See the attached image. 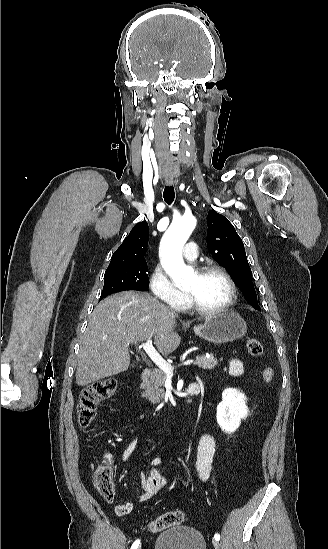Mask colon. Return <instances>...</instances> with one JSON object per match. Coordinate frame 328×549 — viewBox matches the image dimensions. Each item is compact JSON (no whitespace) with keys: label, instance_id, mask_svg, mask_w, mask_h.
<instances>
[{"label":"colon","instance_id":"colon-1","mask_svg":"<svg viewBox=\"0 0 328 549\" xmlns=\"http://www.w3.org/2000/svg\"><path fill=\"white\" fill-rule=\"evenodd\" d=\"M246 348L250 355L256 357L262 356L264 352L261 342L255 338L246 340ZM273 378V369L266 366L262 371L263 381L268 384L272 382ZM116 388V380L107 378L93 383L82 392L77 406L78 423L82 428L91 425L96 416L98 403L113 396ZM93 482L95 489L103 499L110 500L113 497V472L108 466L97 468ZM183 521L184 514L182 511H169L152 520L147 525V530L156 533L179 525Z\"/></svg>","mask_w":328,"mask_h":549}]
</instances>
